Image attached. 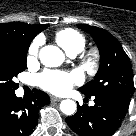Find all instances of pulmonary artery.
Segmentation results:
<instances>
[{
  "label": "pulmonary artery",
  "mask_w": 136,
  "mask_h": 136,
  "mask_svg": "<svg viewBox=\"0 0 136 136\" xmlns=\"http://www.w3.org/2000/svg\"><path fill=\"white\" fill-rule=\"evenodd\" d=\"M77 53H72V54H70L71 56H75Z\"/></svg>",
  "instance_id": "e3ab8cb5"
}]
</instances>
